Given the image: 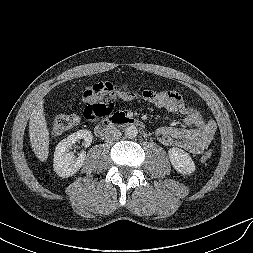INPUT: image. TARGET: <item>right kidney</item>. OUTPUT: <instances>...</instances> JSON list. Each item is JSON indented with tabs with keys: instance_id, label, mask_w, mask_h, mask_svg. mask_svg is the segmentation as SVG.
Listing matches in <instances>:
<instances>
[{
	"instance_id": "obj_1",
	"label": "right kidney",
	"mask_w": 253,
	"mask_h": 253,
	"mask_svg": "<svg viewBox=\"0 0 253 253\" xmlns=\"http://www.w3.org/2000/svg\"><path fill=\"white\" fill-rule=\"evenodd\" d=\"M79 139H84L85 146L91 145L93 136L88 130H79L58 143L54 152L53 168L56 174L62 178L74 175L83 165L86 153L82 151L78 157L69 148Z\"/></svg>"
}]
</instances>
